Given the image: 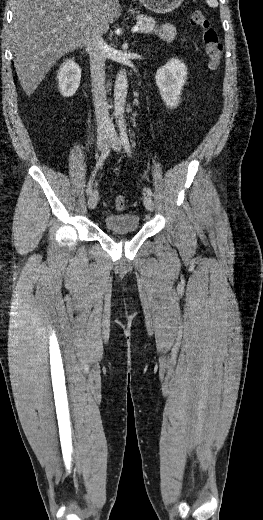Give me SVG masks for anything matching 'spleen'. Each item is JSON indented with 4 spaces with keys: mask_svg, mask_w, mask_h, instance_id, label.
<instances>
[{
    "mask_svg": "<svg viewBox=\"0 0 263 520\" xmlns=\"http://www.w3.org/2000/svg\"><path fill=\"white\" fill-rule=\"evenodd\" d=\"M207 4L210 6V7H217L218 6V1L217 0H206Z\"/></svg>",
    "mask_w": 263,
    "mask_h": 520,
    "instance_id": "3e777b00",
    "label": "spleen"
}]
</instances>
